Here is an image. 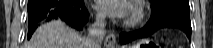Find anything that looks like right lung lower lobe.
<instances>
[{
	"mask_svg": "<svg viewBox=\"0 0 213 48\" xmlns=\"http://www.w3.org/2000/svg\"><path fill=\"white\" fill-rule=\"evenodd\" d=\"M88 17L83 0H29L28 38L43 22L60 18L70 26L81 30Z\"/></svg>",
	"mask_w": 213,
	"mask_h": 48,
	"instance_id": "obj_1",
	"label": "right lung lower lobe"
}]
</instances>
